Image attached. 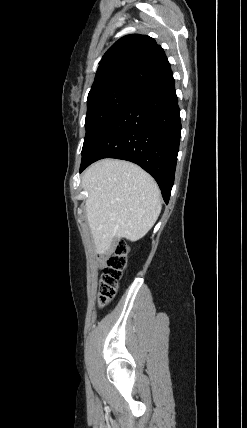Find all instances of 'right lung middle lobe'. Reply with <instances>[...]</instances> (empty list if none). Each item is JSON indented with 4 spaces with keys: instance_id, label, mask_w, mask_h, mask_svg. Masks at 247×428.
<instances>
[{
    "instance_id": "right-lung-middle-lobe-1",
    "label": "right lung middle lobe",
    "mask_w": 247,
    "mask_h": 428,
    "mask_svg": "<svg viewBox=\"0 0 247 428\" xmlns=\"http://www.w3.org/2000/svg\"><path fill=\"white\" fill-rule=\"evenodd\" d=\"M139 93L136 90L116 87L88 95L82 155L107 123Z\"/></svg>"
}]
</instances>
